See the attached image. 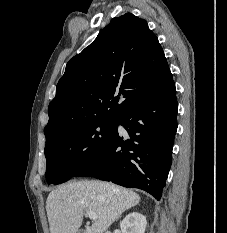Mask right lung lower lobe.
Segmentation results:
<instances>
[{"label":"right lung lower lobe","instance_id":"98d812e1","mask_svg":"<svg viewBox=\"0 0 227 233\" xmlns=\"http://www.w3.org/2000/svg\"><path fill=\"white\" fill-rule=\"evenodd\" d=\"M177 111L172 80L118 118L108 142L74 176L139 188L160 200L172 162ZM118 125L126 129L127 135L118 132Z\"/></svg>","mask_w":227,"mask_h":233}]
</instances>
